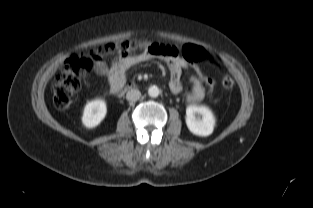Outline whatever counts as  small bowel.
Wrapping results in <instances>:
<instances>
[{"label":"small bowel","instance_id":"small-bowel-1","mask_svg":"<svg viewBox=\"0 0 313 208\" xmlns=\"http://www.w3.org/2000/svg\"><path fill=\"white\" fill-rule=\"evenodd\" d=\"M144 45L156 46L158 52H152L147 48L142 53L136 55H131L129 53L121 54L114 59L110 66H107L103 61L98 60L93 65L94 71L101 78L107 80L111 90L114 92L117 87L124 84L127 70L130 67L145 62L155 55H164L169 61L170 91L174 94L184 93L189 105H193L205 97L204 83L198 76L190 75V88L188 90L184 89L182 74L189 68L190 63L183 56H180L175 48L151 41H144Z\"/></svg>","mask_w":313,"mask_h":208}]
</instances>
